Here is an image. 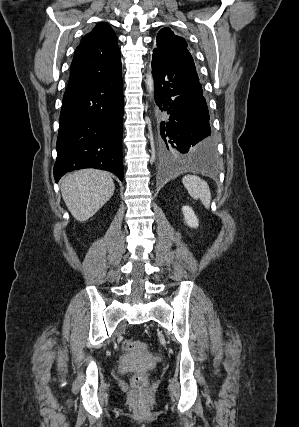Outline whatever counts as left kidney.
I'll return each instance as SVG.
<instances>
[{
  "instance_id": "1",
  "label": "left kidney",
  "mask_w": 299,
  "mask_h": 427,
  "mask_svg": "<svg viewBox=\"0 0 299 427\" xmlns=\"http://www.w3.org/2000/svg\"><path fill=\"white\" fill-rule=\"evenodd\" d=\"M182 212L184 215L185 223L191 228H197L199 223L197 216L195 215L192 208L189 206H183Z\"/></svg>"
}]
</instances>
